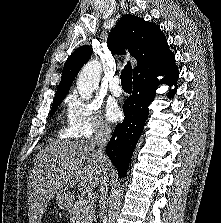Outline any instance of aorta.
Masks as SVG:
<instances>
[{"label": "aorta", "mask_w": 221, "mask_h": 223, "mask_svg": "<svg viewBox=\"0 0 221 223\" xmlns=\"http://www.w3.org/2000/svg\"><path fill=\"white\" fill-rule=\"evenodd\" d=\"M101 70V63L98 60H91L83 66L76 83L82 99H90L94 90L98 88Z\"/></svg>", "instance_id": "1"}]
</instances>
